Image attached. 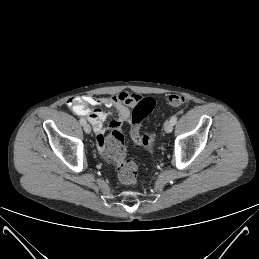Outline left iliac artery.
Masks as SVG:
<instances>
[{
	"label": "left iliac artery",
	"mask_w": 259,
	"mask_h": 259,
	"mask_svg": "<svg viewBox=\"0 0 259 259\" xmlns=\"http://www.w3.org/2000/svg\"><path fill=\"white\" fill-rule=\"evenodd\" d=\"M171 122L173 123V125L176 124V122H177V116L176 115L171 117Z\"/></svg>",
	"instance_id": "left-iliac-artery-1"
}]
</instances>
